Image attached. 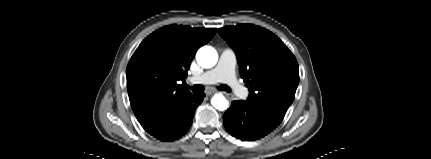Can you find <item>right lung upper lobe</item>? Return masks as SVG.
<instances>
[{
  "label": "right lung upper lobe",
  "mask_w": 431,
  "mask_h": 159,
  "mask_svg": "<svg viewBox=\"0 0 431 159\" xmlns=\"http://www.w3.org/2000/svg\"><path fill=\"white\" fill-rule=\"evenodd\" d=\"M215 33V28L170 25L139 45L127 65L126 77L131 107L144 129L191 94L178 81H184L196 51Z\"/></svg>",
  "instance_id": "cb5924a9"
}]
</instances>
